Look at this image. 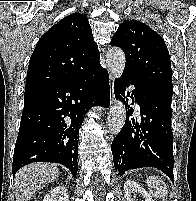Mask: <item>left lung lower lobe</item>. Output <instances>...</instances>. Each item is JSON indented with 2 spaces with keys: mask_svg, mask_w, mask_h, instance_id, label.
<instances>
[{
  "mask_svg": "<svg viewBox=\"0 0 196 201\" xmlns=\"http://www.w3.org/2000/svg\"><path fill=\"white\" fill-rule=\"evenodd\" d=\"M131 84L135 87L132 104H139L140 117H132L133 108L128 107L125 124L111 145L115 169L122 176L129 169L154 167L173 181L172 95L144 86L135 78L123 74L115 80L114 91L116 98L126 105L128 99L125 101V96H130V93L125 92Z\"/></svg>",
  "mask_w": 196,
  "mask_h": 201,
  "instance_id": "0a47b994",
  "label": "left lung lower lobe"
}]
</instances>
